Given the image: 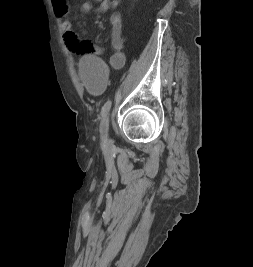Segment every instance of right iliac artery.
I'll use <instances>...</instances> for the list:
<instances>
[{
  "instance_id": "right-iliac-artery-1",
  "label": "right iliac artery",
  "mask_w": 253,
  "mask_h": 267,
  "mask_svg": "<svg viewBox=\"0 0 253 267\" xmlns=\"http://www.w3.org/2000/svg\"><path fill=\"white\" fill-rule=\"evenodd\" d=\"M110 107H111V100H108L102 107V110H101V117L104 118L108 111L110 110Z\"/></svg>"
}]
</instances>
